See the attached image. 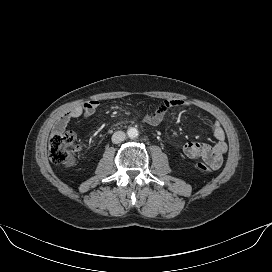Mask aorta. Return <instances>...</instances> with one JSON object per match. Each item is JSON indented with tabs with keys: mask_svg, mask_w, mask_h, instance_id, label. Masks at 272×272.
I'll return each mask as SVG.
<instances>
[{
	"mask_svg": "<svg viewBox=\"0 0 272 272\" xmlns=\"http://www.w3.org/2000/svg\"><path fill=\"white\" fill-rule=\"evenodd\" d=\"M127 135L129 138L134 139L138 136V130L134 127H131L128 129Z\"/></svg>",
	"mask_w": 272,
	"mask_h": 272,
	"instance_id": "762f6f07",
	"label": "aorta"
}]
</instances>
